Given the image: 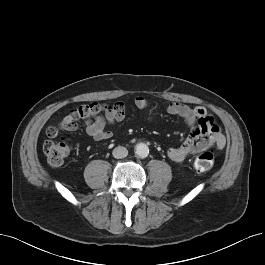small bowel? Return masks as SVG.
Segmentation results:
<instances>
[{"instance_id": "small-bowel-1", "label": "small bowel", "mask_w": 265, "mask_h": 265, "mask_svg": "<svg viewBox=\"0 0 265 265\" xmlns=\"http://www.w3.org/2000/svg\"><path fill=\"white\" fill-rule=\"evenodd\" d=\"M135 105L140 109H144L148 106V102L144 97L138 96L135 98ZM168 112L183 118L192 127L191 133L181 145L170 147L167 150V156L172 162L182 163L189 155L198 153L211 146H215L218 149L225 147V136L220 130L217 132L212 131L217 124L212 117L208 116L205 108L191 107L173 102L168 106ZM125 118V105L117 103L113 106L111 112L98 117L90 123L86 127V132L96 141L108 140L112 137V133L106 129L107 125L121 122ZM207 132H210V135L207 136Z\"/></svg>"}]
</instances>
